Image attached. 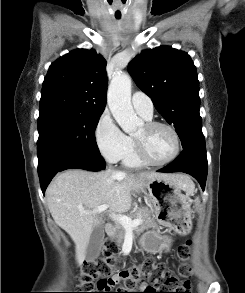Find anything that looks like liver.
<instances>
[{
  "label": "liver",
  "instance_id": "1",
  "mask_svg": "<svg viewBox=\"0 0 245 293\" xmlns=\"http://www.w3.org/2000/svg\"><path fill=\"white\" fill-rule=\"evenodd\" d=\"M154 179H172L187 192L194 188L189 177L182 174H128L109 170L96 173L71 169L59 174L50 183L46 190L48 208L55 223L74 241L79 265L86 258V248L94 227L102 222L99 213L87 215L81 211L92 212L106 204L112 212H127L132 206V192L143 191L147 182Z\"/></svg>",
  "mask_w": 245,
  "mask_h": 293
}]
</instances>
